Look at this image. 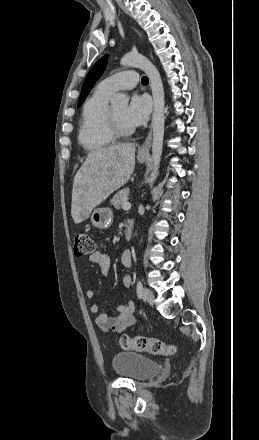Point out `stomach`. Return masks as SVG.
<instances>
[{"label": "stomach", "mask_w": 259, "mask_h": 440, "mask_svg": "<svg viewBox=\"0 0 259 440\" xmlns=\"http://www.w3.org/2000/svg\"><path fill=\"white\" fill-rule=\"evenodd\" d=\"M138 161L143 163L146 157L139 156ZM91 224L98 229H106L111 226L113 221V212L108 207L95 209L90 216Z\"/></svg>", "instance_id": "0dacf381"}]
</instances>
